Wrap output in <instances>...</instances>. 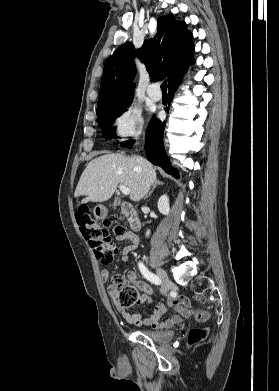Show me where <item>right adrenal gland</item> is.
<instances>
[{
  "mask_svg": "<svg viewBox=\"0 0 279 391\" xmlns=\"http://www.w3.org/2000/svg\"><path fill=\"white\" fill-rule=\"evenodd\" d=\"M163 184H164L163 182H161V181H159V180H156V181L154 182V184H153L151 190L149 191V193L145 196V198L149 197V196L153 193L154 189H155L158 185H163Z\"/></svg>",
  "mask_w": 279,
  "mask_h": 391,
  "instance_id": "obj_1",
  "label": "right adrenal gland"
}]
</instances>
